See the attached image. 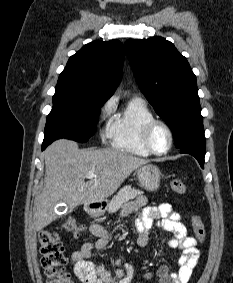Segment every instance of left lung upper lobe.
I'll list each match as a JSON object with an SVG mask.
<instances>
[{
  "label": "left lung upper lobe",
  "mask_w": 233,
  "mask_h": 283,
  "mask_svg": "<svg viewBox=\"0 0 233 283\" xmlns=\"http://www.w3.org/2000/svg\"><path fill=\"white\" fill-rule=\"evenodd\" d=\"M136 82L171 128L175 146H206L196 77L175 46L162 37L124 44Z\"/></svg>",
  "instance_id": "left-lung-upper-lobe-1"
}]
</instances>
